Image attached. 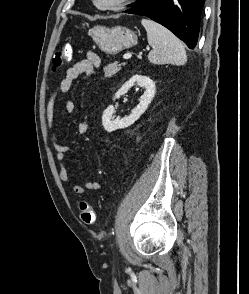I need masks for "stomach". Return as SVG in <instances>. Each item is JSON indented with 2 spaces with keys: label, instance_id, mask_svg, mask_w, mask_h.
<instances>
[{
  "label": "stomach",
  "instance_id": "stomach-1",
  "mask_svg": "<svg viewBox=\"0 0 249 294\" xmlns=\"http://www.w3.org/2000/svg\"><path fill=\"white\" fill-rule=\"evenodd\" d=\"M97 46L106 54L114 55L137 43V35L127 27L95 26L89 31Z\"/></svg>",
  "mask_w": 249,
  "mask_h": 294
}]
</instances>
